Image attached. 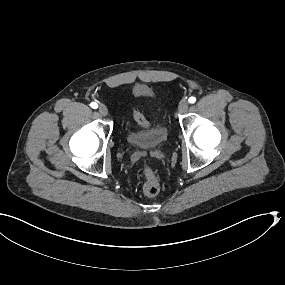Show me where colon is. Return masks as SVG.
<instances>
[{
    "label": "colon",
    "instance_id": "1",
    "mask_svg": "<svg viewBox=\"0 0 285 285\" xmlns=\"http://www.w3.org/2000/svg\"><path fill=\"white\" fill-rule=\"evenodd\" d=\"M133 117L135 121L143 127H148L150 125L144 115L139 111H134ZM143 174L145 177V181L142 185L143 193L148 197L156 196L160 191V181L157 174L149 166L144 167Z\"/></svg>",
    "mask_w": 285,
    "mask_h": 285
}]
</instances>
